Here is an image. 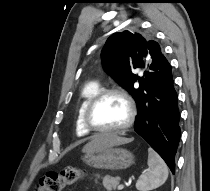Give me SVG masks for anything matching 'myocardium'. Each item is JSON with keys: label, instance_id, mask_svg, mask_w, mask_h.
Here are the masks:
<instances>
[{"label": "myocardium", "instance_id": "obj_1", "mask_svg": "<svg viewBox=\"0 0 210 191\" xmlns=\"http://www.w3.org/2000/svg\"><path fill=\"white\" fill-rule=\"evenodd\" d=\"M107 95H117L121 97L127 104L128 107L127 121L118 128H112V129L100 128L96 126L92 121V113L95 106L102 98H104ZM135 117H136V106L132 98L122 89L108 88L100 90L89 101L83 114V122L85 127L91 132L102 133V134H118L130 128L135 121Z\"/></svg>", "mask_w": 210, "mask_h": 191}]
</instances>
